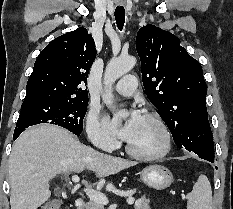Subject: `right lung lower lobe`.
<instances>
[{
  "label": "right lung lower lobe",
  "instance_id": "right-lung-lower-lobe-1",
  "mask_svg": "<svg viewBox=\"0 0 233 209\" xmlns=\"http://www.w3.org/2000/svg\"><path fill=\"white\" fill-rule=\"evenodd\" d=\"M21 134V132H14V135H13V140H16L17 137Z\"/></svg>",
  "mask_w": 233,
  "mask_h": 209
}]
</instances>
